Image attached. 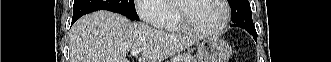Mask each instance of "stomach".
Wrapping results in <instances>:
<instances>
[{"instance_id": "0dacf381", "label": "stomach", "mask_w": 331, "mask_h": 62, "mask_svg": "<svg viewBox=\"0 0 331 62\" xmlns=\"http://www.w3.org/2000/svg\"><path fill=\"white\" fill-rule=\"evenodd\" d=\"M232 49L227 42L216 37L204 39L197 50L199 62H228Z\"/></svg>"}]
</instances>
